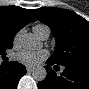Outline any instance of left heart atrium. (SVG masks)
I'll return each instance as SVG.
<instances>
[{
  "mask_svg": "<svg viewBox=\"0 0 89 89\" xmlns=\"http://www.w3.org/2000/svg\"><path fill=\"white\" fill-rule=\"evenodd\" d=\"M46 52L22 51L18 54V60L27 66H37L45 57Z\"/></svg>",
  "mask_w": 89,
  "mask_h": 89,
  "instance_id": "39dd6f15",
  "label": "left heart atrium"
}]
</instances>
